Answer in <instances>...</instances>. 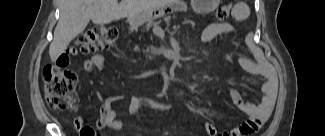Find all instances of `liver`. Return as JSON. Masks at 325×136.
Segmentation results:
<instances>
[{"label":"liver","mask_w":325,"mask_h":136,"mask_svg":"<svg viewBox=\"0 0 325 136\" xmlns=\"http://www.w3.org/2000/svg\"><path fill=\"white\" fill-rule=\"evenodd\" d=\"M171 0H61L60 18L49 47L52 62L82 33L90 20L108 24L124 17L131 18L173 3Z\"/></svg>","instance_id":"1"}]
</instances>
